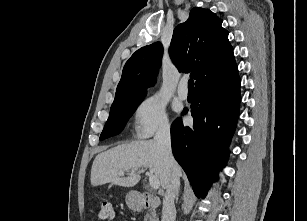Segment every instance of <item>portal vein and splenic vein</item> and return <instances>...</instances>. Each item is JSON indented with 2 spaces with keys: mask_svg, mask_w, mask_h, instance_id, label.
Listing matches in <instances>:
<instances>
[{
  "mask_svg": "<svg viewBox=\"0 0 307 221\" xmlns=\"http://www.w3.org/2000/svg\"><path fill=\"white\" fill-rule=\"evenodd\" d=\"M121 176H124V172H120L119 173ZM149 184L152 188L154 189H158L160 187V181L157 178L156 175H154L153 173L149 174Z\"/></svg>",
  "mask_w": 307,
  "mask_h": 221,
  "instance_id": "18ae733b",
  "label": "portal vein and splenic vein"
}]
</instances>
